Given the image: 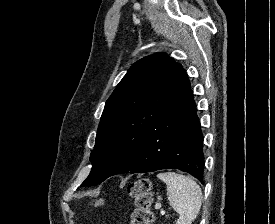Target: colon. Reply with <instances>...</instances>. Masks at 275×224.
Instances as JSON below:
<instances>
[{
  "instance_id": "1",
  "label": "colon",
  "mask_w": 275,
  "mask_h": 224,
  "mask_svg": "<svg viewBox=\"0 0 275 224\" xmlns=\"http://www.w3.org/2000/svg\"><path fill=\"white\" fill-rule=\"evenodd\" d=\"M128 192L136 206L131 214V224H151L153 221L151 211L153 194L150 180L141 178L135 181L129 185Z\"/></svg>"
}]
</instances>
